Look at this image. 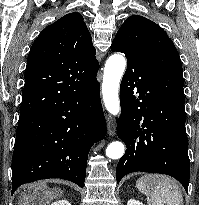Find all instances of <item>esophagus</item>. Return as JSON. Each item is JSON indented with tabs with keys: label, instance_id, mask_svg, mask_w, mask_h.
Listing matches in <instances>:
<instances>
[{
	"label": "esophagus",
	"instance_id": "obj_1",
	"mask_svg": "<svg viewBox=\"0 0 199 205\" xmlns=\"http://www.w3.org/2000/svg\"><path fill=\"white\" fill-rule=\"evenodd\" d=\"M107 128H108V134L110 136H113L115 134V120L112 117L108 118Z\"/></svg>",
	"mask_w": 199,
	"mask_h": 205
}]
</instances>
